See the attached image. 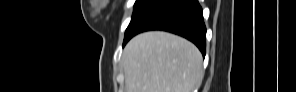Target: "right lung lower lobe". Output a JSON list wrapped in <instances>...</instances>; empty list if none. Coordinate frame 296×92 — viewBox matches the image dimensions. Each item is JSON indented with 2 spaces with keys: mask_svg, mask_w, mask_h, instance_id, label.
Here are the masks:
<instances>
[{
  "mask_svg": "<svg viewBox=\"0 0 296 92\" xmlns=\"http://www.w3.org/2000/svg\"><path fill=\"white\" fill-rule=\"evenodd\" d=\"M164 30L192 41L205 56L206 27L198 0H155L136 20L123 46L136 34Z\"/></svg>",
  "mask_w": 296,
  "mask_h": 92,
  "instance_id": "obj_1",
  "label": "right lung lower lobe"
}]
</instances>
